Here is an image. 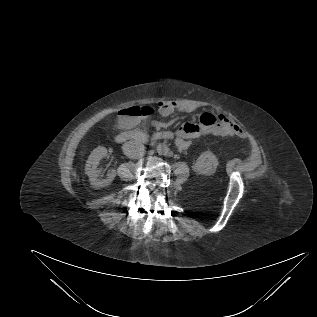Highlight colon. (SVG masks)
<instances>
[{"instance_id":"colon-1","label":"colon","mask_w":317,"mask_h":317,"mask_svg":"<svg viewBox=\"0 0 317 317\" xmlns=\"http://www.w3.org/2000/svg\"><path fill=\"white\" fill-rule=\"evenodd\" d=\"M155 108L152 106H132L129 108H126L122 114L126 115L131 118H141V117H148L155 113ZM202 121L208 124H213L217 121L216 116H210V115H203L201 117Z\"/></svg>"}]
</instances>
